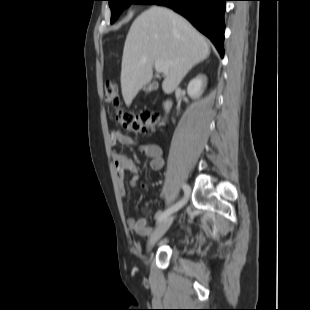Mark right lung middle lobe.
I'll use <instances>...</instances> for the list:
<instances>
[{
  "label": "right lung middle lobe",
  "instance_id": "dd1d6c3e",
  "mask_svg": "<svg viewBox=\"0 0 310 310\" xmlns=\"http://www.w3.org/2000/svg\"><path fill=\"white\" fill-rule=\"evenodd\" d=\"M109 6L111 8V23H114L115 20L119 17L121 12L129 6L131 3L136 4H152L154 0H108Z\"/></svg>",
  "mask_w": 310,
  "mask_h": 310
}]
</instances>
